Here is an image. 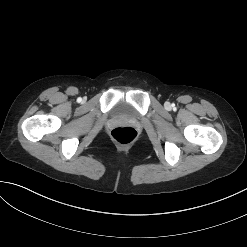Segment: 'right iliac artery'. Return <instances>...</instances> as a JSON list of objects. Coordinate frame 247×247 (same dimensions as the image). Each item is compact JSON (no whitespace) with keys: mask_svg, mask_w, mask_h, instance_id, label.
I'll use <instances>...</instances> for the list:
<instances>
[{"mask_svg":"<svg viewBox=\"0 0 247 247\" xmlns=\"http://www.w3.org/2000/svg\"><path fill=\"white\" fill-rule=\"evenodd\" d=\"M81 100H82L81 98H78V99H77L78 102H81Z\"/></svg>","mask_w":247,"mask_h":247,"instance_id":"1","label":"right iliac artery"}]
</instances>
